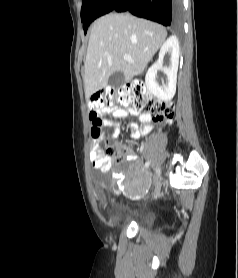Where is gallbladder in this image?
Wrapping results in <instances>:
<instances>
[{
    "instance_id": "obj_1",
    "label": "gallbladder",
    "mask_w": 238,
    "mask_h": 278,
    "mask_svg": "<svg viewBox=\"0 0 238 278\" xmlns=\"http://www.w3.org/2000/svg\"><path fill=\"white\" fill-rule=\"evenodd\" d=\"M125 81V77L123 72L118 71L113 73L108 80L109 85H111L112 87H119L121 86Z\"/></svg>"
}]
</instances>
